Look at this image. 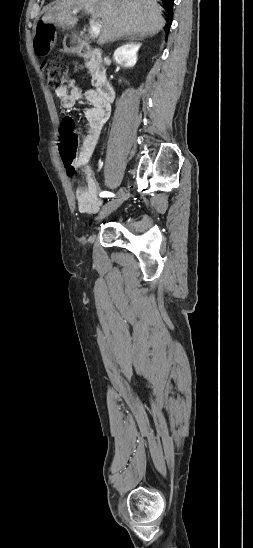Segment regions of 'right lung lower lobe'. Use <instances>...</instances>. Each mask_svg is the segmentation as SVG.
<instances>
[{"instance_id": "98d812e1", "label": "right lung lower lobe", "mask_w": 253, "mask_h": 548, "mask_svg": "<svg viewBox=\"0 0 253 548\" xmlns=\"http://www.w3.org/2000/svg\"><path fill=\"white\" fill-rule=\"evenodd\" d=\"M163 3L166 5V7L168 8V10L170 11V14H169V17H168V22H169V25L171 24L172 20H173V2L174 0H162Z\"/></svg>"}]
</instances>
